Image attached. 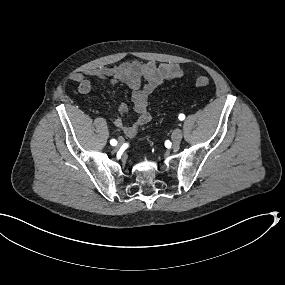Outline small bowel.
Instances as JSON below:
<instances>
[{
    "label": "small bowel",
    "instance_id": "obj_1",
    "mask_svg": "<svg viewBox=\"0 0 285 285\" xmlns=\"http://www.w3.org/2000/svg\"><path fill=\"white\" fill-rule=\"evenodd\" d=\"M187 72L175 63L131 60L113 67H101L75 74L72 80L77 84L80 94L90 93L95 88L94 83L87 77L107 81L112 85H127L132 90L131 101L138 119L133 125H126L123 118L128 113V105L121 103L118 114L112 118V123L128 137H134L152 118L148 110L149 96L164 82L183 77Z\"/></svg>",
    "mask_w": 285,
    "mask_h": 285
}]
</instances>
